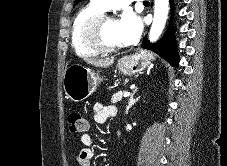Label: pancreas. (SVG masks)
I'll return each instance as SVG.
<instances>
[{
    "label": "pancreas",
    "mask_w": 227,
    "mask_h": 166,
    "mask_svg": "<svg viewBox=\"0 0 227 166\" xmlns=\"http://www.w3.org/2000/svg\"><path fill=\"white\" fill-rule=\"evenodd\" d=\"M124 93H125V92H122V91H119V92L115 93V94L112 96V98H111V102H112L113 104H115V103L121 101L122 98H123V96H124Z\"/></svg>",
    "instance_id": "pancreas-1"
}]
</instances>
